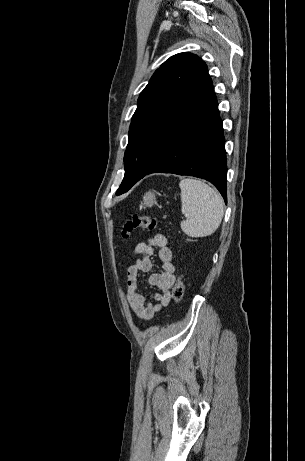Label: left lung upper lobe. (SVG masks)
I'll return each mask as SVG.
<instances>
[{
  "mask_svg": "<svg viewBox=\"0 0 305 461\" xmlns=\"http://www.w3.org/2000/svg\"><path fill=\"white\" fill-rule=\"evenodd\" d=\"M207 72L206 64L192 53L176 54L155 71L132 116L124 155L125 175L116 195L127 192L147 172L157 133Z\"/></svg>",
  "mask_w": 305,
  "mask_h": 461,
  "instance_id": "obj_1",
  "label": "left lung upper lobe"
}]
</instances>
